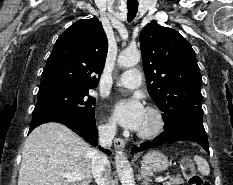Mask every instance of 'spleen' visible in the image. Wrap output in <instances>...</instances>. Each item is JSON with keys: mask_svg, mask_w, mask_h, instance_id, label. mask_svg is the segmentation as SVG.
<instances>
[{"mask_svg": "<svg viewBox=\"0 0 233 185\" xmlns=\"http://www.w3.org/2000/svg\"><path fill=\"white\" fill-rule=\"evenodd\" d=\"M194 161L197 164L198 171L204 175L208 176L210 174V167L208 162L201 156L195 155L194 156Z\"/></svg>", "mask_w": 233, "mask_h": 185, "instance_id": "spleen-1", "label": "spleen"}]
</instances>
